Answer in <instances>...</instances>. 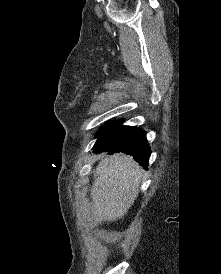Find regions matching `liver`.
Masks as SVG:
<instances>
[{
  "instance_id": "1",
  "label": "liver",
  "mask_w": 221,
  "mask_h": 274,
  "mask_svg": "<svg viewBox=\"0 0 221 274\" xmlns=\"http://www.w3.org/2000/svg\"><path fill=\"white\" fill-rule=\"evenodd\" d=\"M143 172L130 156L103 155L91 188L92 207L86 210L89 225L123 218L138 196Z\"/></svg>"
}]
</instances>
